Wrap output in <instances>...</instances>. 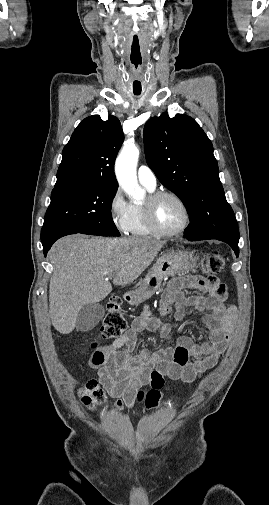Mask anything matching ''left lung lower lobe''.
Instances as JSON below:
<instances>
[{"label": "left lung lower lobe", "mask_w": 269, "mask_h": 505, "mask_svg": "<svg viewBox=\"0 0 269 505\" xmlns=\"http://www.w3.org/2000/svg\"><path fill=\"white\" fill-rule=\"evenodd\" d=\"M187 239L190 240V241H195L192 238H187ZM213 239H217V240L226 242L234 250L236 256L237 257L239 256V248H238V242H239V240H234V239H230V238H226V237H217V238H213Z\"/></svg>", "instance_id": "1"}]
</instances>
